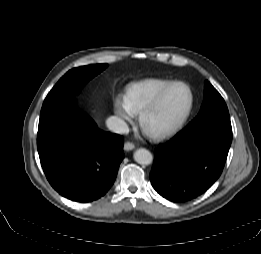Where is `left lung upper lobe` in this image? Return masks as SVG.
<instances>
[{
    "instance_id": "obj_1",
    "label": "left lung upper lobe",
    "mask_w": 261,
    "mask_h": 254,
    "mask_svg": "<svg viewBox=\"0 0 261 254\" xmlns=\"http://www.w3.org/2000/svg\"><path fill=\"white\" fill-rule=\"evenodd\" d=\"M210 123H230L228 108L222 96L208 82L204 84V101L200 112L191 121L187 129H198L203 125Z\"/></svg>"
}]
</instances>
